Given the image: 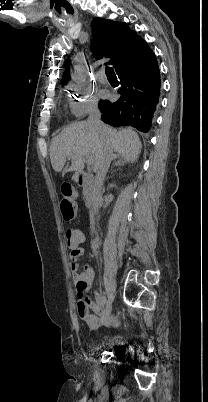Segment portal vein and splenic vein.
Instances as JSON below:
<instances>
[{"label":"portal vein and splenic vein","instance_id":"obj_1","mask_svg":"<svg viewBox=\"0 0 208 402\" xmlns=\"http://www.w3.org/2000/svg\"><path fill=\"white\" fill-rule=\"evenodd\" d=\"M85 158H86V160H87L89 166H91V164H92V162H91L92 156H89V154H86Z\"/></svg>","mask_w":208,"mask_h":402}]
</instances>
